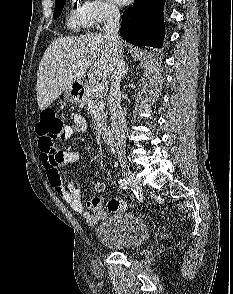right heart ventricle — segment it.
I'll return each instance as SVG.
<instances>
[{"label":"right heart ventricle","instance_id":"obj_1","mask_svg":"<svg viewBox=\"0 0 233 294\" xmlns=\"http://www.w3.org/2000/svg\"><path fill=\"white\" fill-rule=\"evenodd\" d=\"M67 26L73 31H80L88 27V22L81 7L72 6L66 17Z\"/></svg>","mask_w":233,"mask_h":294}]
</instances>
